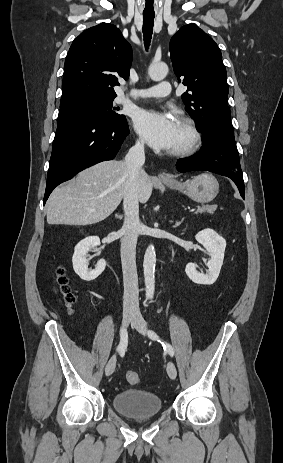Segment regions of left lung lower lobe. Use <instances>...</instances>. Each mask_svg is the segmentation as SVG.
I'll list each match as a JSON object with an SVG mask.
<instances>
[{"label": "left lung lower lobe", "mask_w": 283, "mask_h": 463, "mask_svg": "<svg viewBox=\"0 0 283 463\" xmlns=\"http://www.w3.org/2000/svg\"><path fill=\"white\" fill-rule=\"evenodd\" d=\"M176 169L179 172L205 170L227 176L235 182L244 198V181L238 150L220 141H203L201 151L195 156L178 160Z\"/></svg>", "instance_id": "obj_1"}]
</instances>
